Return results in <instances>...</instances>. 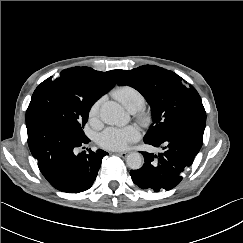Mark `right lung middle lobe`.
Segmentation results:
<instances>
[{
  "mask_svg": "<svg viewBox=\"0 0 243 243\" xmlns=\"http://www.w3.org/2000/svg\"><path fill=\"white\" fill-rule=\"evenodd\" d=\"M93 102L75 96L59 78H48L34 91L26 111L31 115H47L53 117L80 137H84L83 128Z\"/></svg>",
  "mask_w": 243,
  "mask_h": 243,
  "instance_id": "right-lung-middle-lobe-1",
  "label": "right lung middle lobe"
}]
</instances>
